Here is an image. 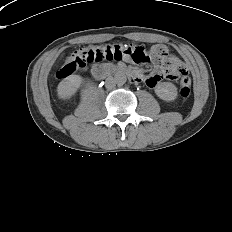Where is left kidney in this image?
<instances>
[{"label":"left kidney","instance_id":"obj_1","mask_svg":"<svg viewBox=\"0 0 232 232\" xmlns=\"http://www.w3.org/2000/svg\"><path fill=\"white\" fill-rule=\"evenodd\" d=\"M156 95L164 101H173L177 98V87L171 82H161L155 86Z\"/></svg>","mask_w":232,"mask_h":232}]
</instances>
